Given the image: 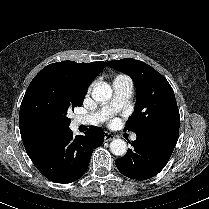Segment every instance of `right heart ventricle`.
I'll return each instance as SVG.
<instances>
[{
	"instance_id": "e07e8e85",
	"label": "right heart ventricle",
	"mask_w": 209,
	"mask_h": 209,
	"mask_svg": "<svg viewBox=\"0 0 209 209\" xmlns=\"http://www.w3.org/2000/svg\"><path fill=\"white\" fill-rule=\"evenodd\" d=\"M121 80H129V79L126 76L119 75L115 78L114 82L115 81H121Z\"/></svg>"
}]
</instances>
